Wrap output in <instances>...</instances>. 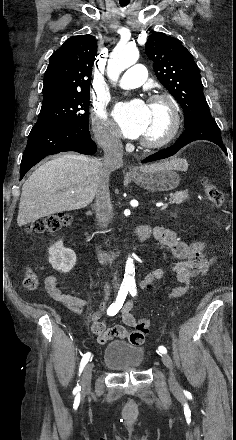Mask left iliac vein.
Here are the masks:
<instances>
[{
  "label": "left iliac vein",
  "mask_w": 236,
  "mask_h": 440,
  "mask_svg": "<svg viewBox=\"0 0 236 440\" xmlns=\"http://www.w3.org/2000/svg\"><path fill=\"white\" fill-rule=\"evenodd\" d=\"M162 361H163L164 365L169 369V372H170V376H169L170 387L172 389H177L178 383H177V380H176V377H175V374L173 371L174 365H173L172 359L168 355H163Z\"/></svg>",
  "instance_id": "left-iliac-vein-1"
}]
</instances>
